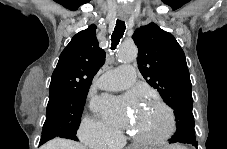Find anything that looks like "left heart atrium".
<instances>
[{"label": "left heart atrium", "mask_w": 227, "mask_h": 149, "mask_svg": "<svg viewBox=\"0 0 227 149\" xmlns=\"http://www.w3.org/2000/svg\"><path fill=\"white\" fill-rule=\"evenodd\" d=\"M122 100H115L107 96H102L96 99L94 107L103 113L105 118L111 123L125 127L128 124V117L116 108L121 105ZM128 103L130 100L128 99Z\"/></svg>", "instance_id": "left-heart-atrium-1"}]
</instances>
